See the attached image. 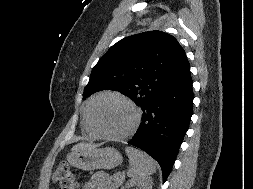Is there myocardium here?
I'll return each mask as SVG.
<instances>
[{
    "instance_id": "1",
    "label": "myocardium",
    "mask_w": 253,
    "mask_h": 189,
    "mask_svg": "<svg viewBox=\"0 0 253 189\" xmlns=\"http://www.w3.org/2000/svg\"><path fill=\"white\" fill-rule=\"evenodd\" d=\"M106 97H115L118 98L120 100H122L123 102H125L134 112V121L131 125V127L124 133L119 134V135H115V134H109L105 131H103L97 124L95 118H94V109L96 104L103 98ZM88 118H89V123L92 127V129L97 133V135H99L102 138L105 139H109V140H124L127 139L129 137H131L139 128L140 123H141V118H142V114H141V110L139 109V107L134 103V101H132L130 98H128L127 96L118 93V92H103L99 95H97L91 102V105L89 107V111H88Z\"/></svg>"
}]
</instances>
